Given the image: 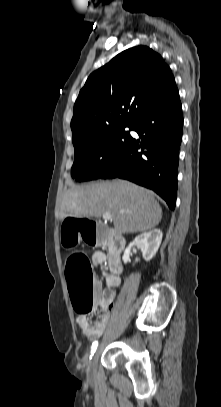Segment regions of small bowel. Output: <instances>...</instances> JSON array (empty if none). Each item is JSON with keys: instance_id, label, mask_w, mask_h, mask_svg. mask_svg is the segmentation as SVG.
<instances>
[{"instance_id": "obj_1", "label": "small bowel", "mask_w": 221, "mask_h": 407, "mask_svg": "<svg viewBox=\"0 0 221 407\" xmlns=\"http://www.w3.org/2000/svg\"><path fill=\"white\" fill-rule=\"evenodd\" d=\"M92 262L96 267H103L106 262L104 253L97 251L92 255ZM103 277L106 289L101 290L99 287L95 288L96 306L99 309L98 318L95 323H92L87 317L80 316L77 318V324L87 340L98 338L104 332L110 318L111 311L114 308V292L113 288L118 287L120 278L117 274L103 271Z\"/></svg>"}]
</instances>
